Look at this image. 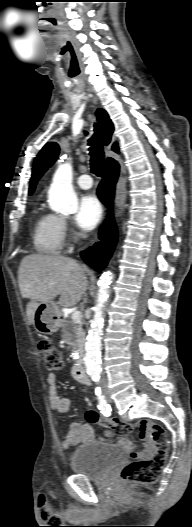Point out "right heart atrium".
<instances>
[{"label": "right heart atrium", "instance_id": "right-heart-atrium-1", "mask_svg": "<svg viewBox=\"0 0 192 527\" xmlns=\"http://www.w3.org/2000/svg\"><path fill=\"white\" fill-rule=\"evenodd\" d=\"M60 222H61V226H62V229H63V232H67L68 231V223L65 219L63 218H60Z\"/></svg>", "mask_w": 192, "mask_h": 527}]
</instances>
